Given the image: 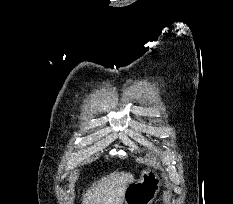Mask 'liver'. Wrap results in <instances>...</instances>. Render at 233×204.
I'll return each instance as SVG.
<instances>
[{
  "label": "liver",
  "mask_w": 233,
  "mask_h": 204,
  "mask_svg": "<svg viewBox=\"0 0 233 204\" xmlns=\"http://www.w3.org/2000/svg\"><path fill=\"white\" fill-rule=\"evenodd\" d=\"M132 180L129 172L110 173L83 194L82 204H123L126 187Z\"/></svg>",
  "instance_id": "1"
}]
</instances>
